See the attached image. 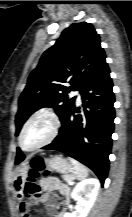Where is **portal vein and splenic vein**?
I'll return each instance as SVG.
<instances>
[{
  "label": "portal vein and splenic vein",
  "mask_w": 132,
  "mask_h": 217,
  "mask_svg": "<svg viewBox=\"0 0 132 217\" xmlns=\"http://www.w3.org/2000/svg\"><path fill=\"white\" fill-rule=\"evenodd\" d=\"M69 184L71 185V184H73V182H69Z\"/></svg>",
  "instance_id": "obj_1"
}]
</instances>
